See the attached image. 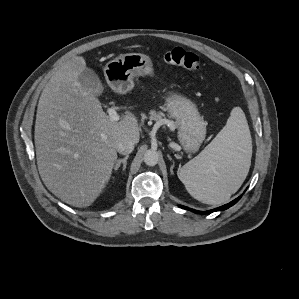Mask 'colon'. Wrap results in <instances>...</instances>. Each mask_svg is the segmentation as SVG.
<instances>
[{
    "instance_id": "5ec220e1",
    "label": "colon",
    "mask_w": 299,
    "mask_h": 299,
    "mask_svg": "<svg viewBox=\"0 0 299 299\" xmlns=\"http://www.w3.org/2000/svg\"><path fill=\"white\" fill-rule=\"evenodd\" d=\"M163 60L167 64L179 66L188 70H198L201 66V60L198 55L180 47H175L166 51L163 54Z\"/></svg>"
}]
</instances>
